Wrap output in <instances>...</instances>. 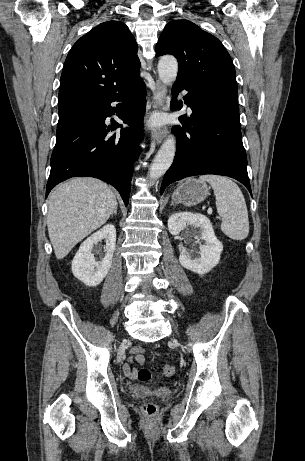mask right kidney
<instances>
[{"label": "right kidney", "mask_w": 305, "mask_h": 461, "mask_svg": "<svg viewBox=\"0 0 305 461\" xmlns=\"http://www.w3.org/2000/svg\"><path fill=\"white\" fill-rule=\"evenodd\" d=\"M102 239L106 240V246H104L105 257L101 262H97L91 251L94 245ZM115 246L116 229L114 225L107 224L81 244L72 261L73 275L89 287L98 286L111 268Z\"/></svg>", "instance_id": "1"}]
</instances>
